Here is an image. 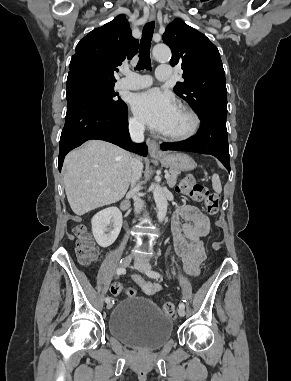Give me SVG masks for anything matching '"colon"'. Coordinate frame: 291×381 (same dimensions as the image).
<instances>
[{"label":"colon","instance_id":"5ec220e1","mask_svg":"<svg viewBox=\"0 0 291 381\" xmlns=\"http://www.w3.org/2000/svg\"><path fill=\"white\" fill-rule=\"evenodd\" d=\"M178 191L189 197L196 202H202L211 215H216L219 210V199L214 193L199 183H196L192 179H183L178 184ZM74 234L76 236V254L81 264L89 265L98 259V251L91 238L90 233L85 226L79 225L74 228ZM216 246V243H214ZM124 291V288L120 284H114L112 286V292L115 295H119ZM125 293L128 297L136 296L134 289H126ZM163 313L167 316H172L175 313V305L172 302H166L162 307Z\"/></svg>","mask_w":291,"mask_h":381}]
</instances>
